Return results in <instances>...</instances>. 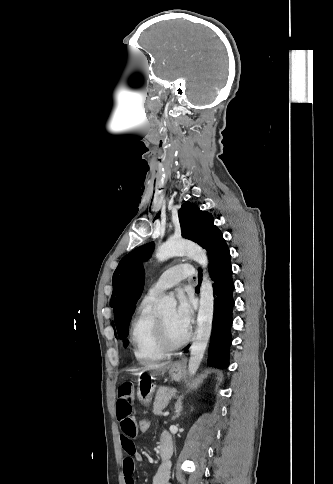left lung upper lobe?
<instances>
[{"mask_svg": "<svg viewBox=\"0 0 333 484\" xmlns=\"http://www.w3.org/2000/svg\"><path fill=\"white\" fill-rule=\"evenodd\" d=\"M178 215L182 236L202 246L206 226L209 222L214 221L212 214L206 211H201L195 204H192L191 202H186L179 209ZM153 249V243H148L134 249L121 259L113 274V294L111 297V306L113 305L114 296L118 290V287L122 279H124L128 269L138 261H146L149 259Z\"/></svg>", "mask_w": 333, "mask_h": 484, "instance_id": "left-lung-upper-lobe-1", "label": "left lung upper lobe"}]
</instances>
